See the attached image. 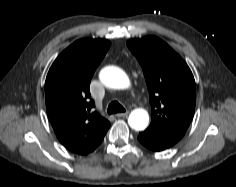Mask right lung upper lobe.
<instances>
[{"label": "right lung upper lobe", "instance_id": "cb5924a9", "mask_svg": "<svg viewBox=\"0 0 236 187\" xmlns=\"http://www.w3.org/2000/svg\"><path fill=\"white\" fill-rule=\"evenodd\" d=\"M104 39H81L53 62L45 83L46 110L59 141L72 153L87 155L102 142L109 121L93 111L89 86L110 47Z\"/></svg>", "mask_w": 236, "mask_h": 187}]
</instances>
